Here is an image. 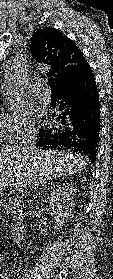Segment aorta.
<instances>
[{
	"label": "aorta",
	"instance_id": "762f6f07",
	"mask_svg": "<svg viewBox=\"0 0 113 279\" xmlns=\"http://www.w3.org/2000/svg\"><path fill=\"white\" fill-rule=\"evenodd\" d=\"M19 92L15 89L11 90V93L9 95V100L13 103L19 98Z\"/></svg>",
	"mask_w": 113,
	"mask_h": 279
}]
</instances>
